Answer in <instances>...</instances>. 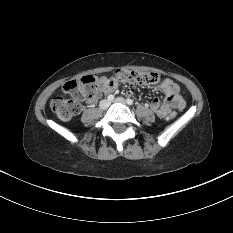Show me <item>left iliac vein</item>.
<instances>
[{
	"label": "left iliac vein",
	"mask_w": 233,
	"mask_h": 233,
	"mask_svg": "<svg viewBox=\"0 0 233 233\" xmlns=\"http://www.w3.org/2000/svg\"><path fill=\"white\" fill-rule=\"evenodd\" d=\"M114 102H116V103H121V104H124V105H127L126 100H125L124 98H122V97H118V98H116V99L114 100Z\"/></svg>",
	"instance_id": "1"
}]
</instances>
